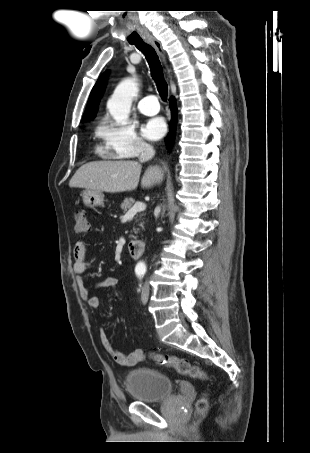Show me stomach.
I'll return each instance as SVG.
<instances>
[{
	"label": "stomach",
	"mask_w": 310,
	"mask_h": 453,
	"mask_svg": "<svg viewBox=\"0 0 310 453\" xmlns=\"http://www.w3.org/2000/svg\"><path fill=\"white\" fill-rule=\"evenodd\" d=\"M82 199L85 206L92 208L103 205L104 195L101 191L85 190L82 193Z\"/></svg>",
	"instance_id": "stomach-1"
}]
</instances>
